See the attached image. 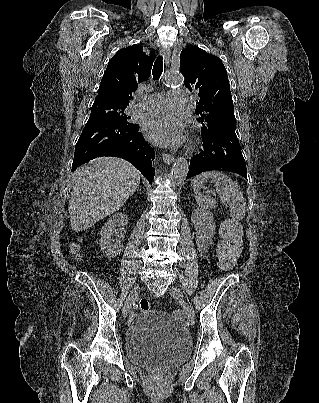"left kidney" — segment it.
Here are the masks:
<instances>
[{
	"mask_svg": "<svg viewBox=\"0 0 319 403\" xmlns=\"http://www.w3.org/2000/svg\"><path fill=\"white\" fill-rule=\"evenodd\" d=\"M191 220L196 231L198 250L201 253H205L210 245H212L216 228L213 215L205 209L197 208L192 212Z\"/></svg>",
	"mask_w": 319,
	"mask_h": 403,
	"instance_id": "5707ae66",
	"label": "left kidney"
}]
</instances>
